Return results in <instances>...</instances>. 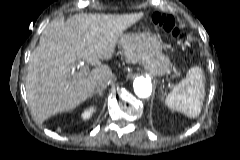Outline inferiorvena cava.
<instances>
[{
    "mask_svg": "<svg viewBox=\"0 0 240 160\" xmlns=\"http://www.w3.org/2000/svg\"><path fill=\"white\" fill-rule=\"evenodd\" d=\"M109 81H110V78H106V79L98 81L97 89H104Z\"/></svg>",
    "mask_w": 240,
    "mask_h": 160,
    "instance_id": "inferior-vena-cava-1",
    "label": "inferior vena cava"
}]
</instances>
